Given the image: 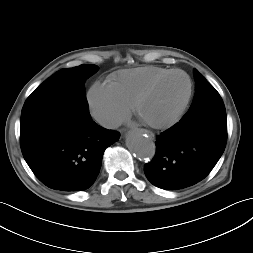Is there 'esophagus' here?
<instances>
[{
    "label": "esophagus",
    "mask_w": 253,
    "mask_h": 253,
    "mask_svg": "<svg viewBox=\"0 0 253 253\" xmlns=\"http://www.w3.org/2000/svg\"><path fill=\"white\" fill-rule=\"evenodd\" d=\"M140 132H142V133H147V135H148L151 139L154 138V134H153L152 132H150V131L141 129Z\"/></svg>",
    "instance_id": "1"
}]
</instances>
